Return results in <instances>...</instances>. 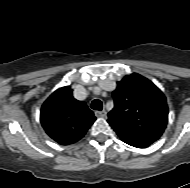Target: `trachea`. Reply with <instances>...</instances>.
I'll return each instance as SVG.
<instances>
[{"label":"trachea","instance_id":"3493384b","mask_svg":"<svg viewBox=\"0 0 190 188\" xmlns=\"http://www.w3.org/2000/svg\"><path fill=\"white\" fill-rule=\"evenodd\" d=\"M102 107H103L102 102H101V100H99V99H95V100H93L92 103H91V108H92L93 110H98V111H100V110H102Z\"/></svg>","mask_w":190,"mask_h":188}]
</instances>
